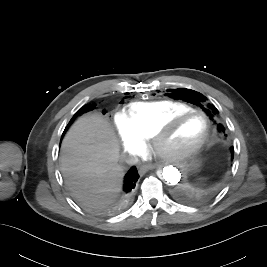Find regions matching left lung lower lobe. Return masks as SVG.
Segmentation results:
<instances>
[{
    "instance_id": "left-lung-lower-lobe-1",
    "label": "left lung lower lobe",
    "mask_w": 267,
    "mask_h": 267,
    "mask_svg": "<svg viewBox=\"0 0 267 267\" xmlns=\"http://www.w3.org/2000/svg\"><path fill=\"white\" fill-rule=\"evenodd\" d=\"M234 148L228 145H221L216 150L213 160L199 168L197 179L201 183H208L219 175H225L230 170Z\"/></svg>"
}]
</instances>
